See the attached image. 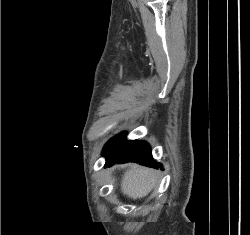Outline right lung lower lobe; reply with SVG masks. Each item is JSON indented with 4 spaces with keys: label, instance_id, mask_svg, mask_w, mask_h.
<instances>
[{
    "label": "right lung lower lobe",
    "instance_id": "right-lung-lower-lobe-1",
    "mask_svg": "<svg viewBox=\"0 0 250 235\" xmlns=\"http://www.w3.org/2000/svg\"><path fill=\"white\" fill-rule=\"evenodd\" d=\"M125 133L112 138L104 147L103 154L106 156V166L116 163L138 162L149 167H159L151 155L150 146L144 141H128ZM162 169V165H160Z\"/></svg>",
    "mask_w": 250,
    "mask_h": 235
}]
</instances>
